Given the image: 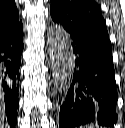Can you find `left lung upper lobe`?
I'll list each match as a JSON object with an SVG mask.
<instances>
[{
    "mask_svg": "<svg viewBox=\"0 0 125 128\" xmlns=\"http://www.w3.org/2000/svg\"><path fill=\"white\" fill-rule=\"evenodd\" d=\"M53 21L71 35L111 45L101 9L95 0H51Z\"/></svg>",
    "mask_w": 125,
    "mask_h": 128,
    "instance_id": "5c2ea615",
    "label": "left lung upper lobe"
}]
</instances>
